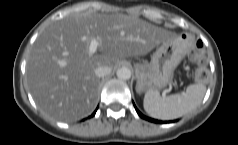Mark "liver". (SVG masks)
Here are the masks:
<instances>
[{"label": "liver", "instance_id": "6515ba94", "mask_svg": "<svg viewBox=\"0 0 238 145\" xmlns=\"http://www.w3.org/2000/svg\"><path fill=\"white\" fill-rule=\"evenodd\" d=\"M168 38L162 28L124 14H69L46 27L32 46L26 66L30 93L45 114L79 120L97 104V67L115 68L121 59L145 55ZM91 39L98 41L94 54Z\"/></svg>", "mask_w": 238, "mask_h": 145}]
</instances>
